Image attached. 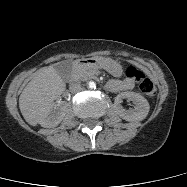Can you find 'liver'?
Instances as JSON below:
<instances>
[{
	"instance_id": "6515ba94",
	"label": "liver",
	"mask_w": 187,
	"mask_h": 187,
	"mask_svg": "<svg viewBox=\"0 0 187 187\" xmlns=\"http://www.w3.org/2000/svg\"><path fill=\"white\" fill-rule=\"evenodd\" d=\"M65 89L55 65L39 69L19 97V108L26 122L36 126Z\"/></svg>"
}]
</instances>
